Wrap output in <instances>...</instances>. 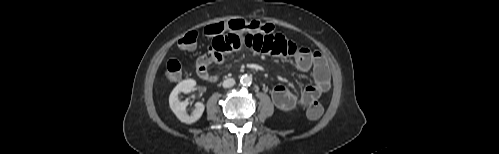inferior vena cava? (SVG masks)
Segmentation results:
<instances>
[{
  "label": "inferior vena cava",
  "instance_id": "602c4592",
  "mask_svg": "<svg viewBox=\"0 0 499 154\" xmlns=\"http://www.w3.org/2000/svg\"><path fill=\"white\" fill-rule=\"evenodd\" d=\"M235 85V80L233 78H229L223 81L224 88H230Z\"/></svg>",
  "mask_w": 499,
  "mask_h": 154
}]
</instances>
